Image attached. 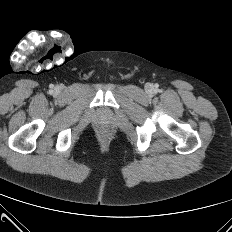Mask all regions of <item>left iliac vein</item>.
I'll return each instance as SVG.
<instances>
[{"label": "left iliac vein", "mask_w": 232, "mask_h": 232, "mask_svg": "<svg viewBox=\"0 0 232 232\" xmlns=\"http://www.w3.org/2000/svg\"><path fill=\"white\" fill-rule=\"evenodd\" d=\"M147 91H149V92L152 91V86H151V85H148V86H147Z\"/></svg>", "instance_id": "1"}]
</instances>
